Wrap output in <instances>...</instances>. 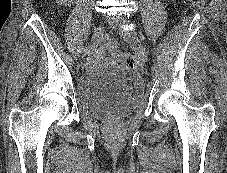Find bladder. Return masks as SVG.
<instances>
[{
  "mask_svg": "<svg viewBox=\"0 0 227 173\" xmlns=\"http://www.w3.org/2000/svg\"><path fill=\"white\" fill-rule=\"evenodd\" d=\"M141 76L123 65L89 69L77 80V101L86 113L99 118H122L141 103Z\"/></svg>",
  "mask_w": 227,
  "mask_h": 173,
  "instance_id": "1",
  "label": "bladder"
}]
</instances>
